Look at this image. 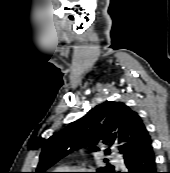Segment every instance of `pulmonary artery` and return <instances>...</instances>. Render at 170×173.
Returning a JSON list of instances; mask_svg holds the SVG:
<instances>
[{
    "label": "pulmonary artery",
    "instance_id": "pulmonary-artery-1",
    "mask_svg": "<svg viewBox=\"0 0 170 173\" xmlns=\"http://www.w3.org/2000/svg\"><path fill=\"white\" fill-rule=\"evenodd\" d=\"M116 164H117V165H123V161L120 160V159H117V160H116Z\"/></svg>",
    "mask_w": 170,
    "mask_h": 173
}]
</instances>
